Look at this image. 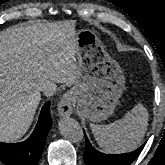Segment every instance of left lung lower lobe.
Here are the masks:
<instances>
[{"label":"left lung lower lobe","instance_id":"left-lung-lower-lobe-1","mask_svg":"<svg viewBox=\"0 0 165 165\" xmlns=\"http://www.w3.org/2000/svg\"><path fill=\"white\" fill-rule=\"evenodd\" d=\"M142 149L143 146L126 154H103L97 151L86 139L83 158L86 165H130Z\"/></svg>","mask_w":165,"mask_h":165}]
</instances>
